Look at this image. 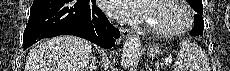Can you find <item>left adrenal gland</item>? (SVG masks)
I'll list each match as a JSON object with an SVG mask.
<instances>
[{
	"instance_id": "a2214340",
	"label": "left adrenal gland",
	"mask_w": 230,
	"mask_h": 71,
	"mask_svg": "<svg viewBox=\"0 0 230 71\" xmlns=\"http://www.w3.org/2000/svg\"><path fill=\"white\" fill-rule=\"evenodd\" d=\"M146 69H147V70L149 69V66H148V64L146 65Z\"/></svg>"
}]
</instances>
